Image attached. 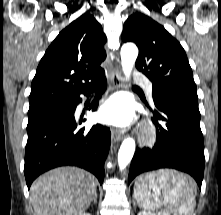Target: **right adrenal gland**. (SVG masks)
I'll use <instances>...</instances> for the list:
<instances>
[{
  "label": "right adrenal gland",
  "instance_id": "2a0ac1e0",
  "mask_svg": "<svg viewBox=\"0 0 221 215\" xmlns=\"http://www.w3.org/2000/svg\"><path fill=\"white\" fill-rule=\"evenodd\" d=\"M96 203H97V193H95L94 199H93V204H96Z\"/></svg>",
  "mask_w": 221,
  "mask_h": 215
}]
</instances>
